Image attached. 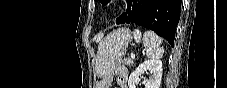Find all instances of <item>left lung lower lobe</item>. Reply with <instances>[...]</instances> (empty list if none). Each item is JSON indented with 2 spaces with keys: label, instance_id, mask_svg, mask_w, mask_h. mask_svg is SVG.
<instances>
[{
  "label": "left lung lower lobe",
  "instance_id": "1",
  "mask_svg": "<svg viewBox=\"0 0 227 88\" xmlns=\"http://www.w3.org/2000/svg\"><path fill=\"white\" fill-rule=\"evenodd\" d=\"M181 2L182 0H127V12L118 17L116 23H135L151 29L173 46Z\"/></svg>",
  "mask_w": 227,
  "mask_h": 88
}]
</instances>
